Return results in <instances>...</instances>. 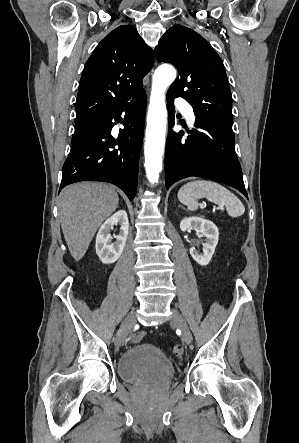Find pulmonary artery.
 Instances as JSON below:
<instances>
[{
	"label": "pulmonary artery",
	"mask_w": 299,
	"mask_h": 443,
	"mask_svg": "<svg viewBox=\"0 0 299 443\" xmlns=\"http://www.w3.org/2000/svg\"><path fill=\"white\" fill-rule=\"evenodd\" d=\"M176 103H177L179 110L182 112V114L186 118V120L190 124H194L196 117H195L192 107L186 102L185 99L180 98V97L176 99Z\"/></svg>",
	"instance_id": "e3ab8cb5"
}]
</instances>
